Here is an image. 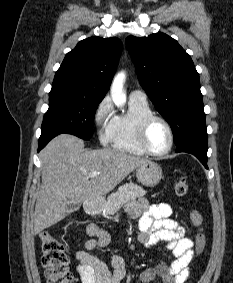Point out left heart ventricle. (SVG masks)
<instances>
[{"instance_id":"1","label":"left heart ventricle","mask_w":233,"mask_h":283,"mask_svg":"<svg viewBox=\"0 0 233 283\" xmlns=\"http://www.w3.org/2000/svg\"><path fill=\"white\" fill-rule=\"evenodd\" d=\"M169 133L160 121H153L146 134V142L149 148L155 152L164 151L169 145Z\"/></svg>"}]
</instances>
